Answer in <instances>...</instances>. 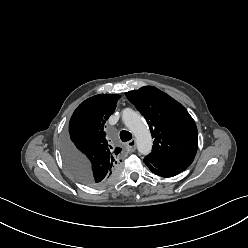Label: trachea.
<instances>
[{
    "label": "trachea",
    "instance_id": "trachea-1",
    "mask_svg": "<svg viewBox=\"0 0 248 248\" xmlns=\"http://www.w3.org/2000/svg\"><path fill=\"white\" fill-rule=\"evenodd\" d=\"M120 138L123 142H127V141L131 140L132 134L126 130H123L120 132Z\"/></svg>",
    "mask_w": 248,
    "mask_h": 248
}]
</instances>
